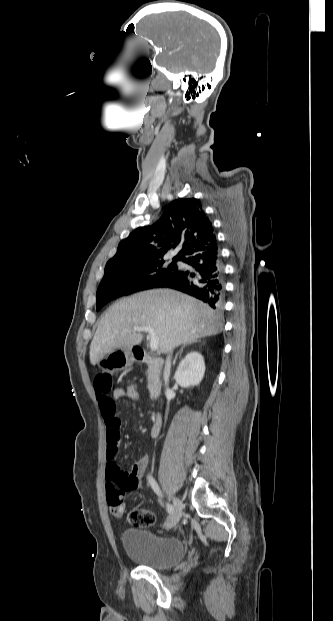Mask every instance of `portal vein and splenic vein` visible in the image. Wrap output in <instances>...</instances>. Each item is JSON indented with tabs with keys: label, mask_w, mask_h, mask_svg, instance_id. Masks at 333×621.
Instances as JSON below:
<instances>
[{
	"label": "portal vein and splenic vein",
	"mask_w": 333,
	"mask_h": 621,
	"mask_svg": "<svg viewBox=\"0 0 333 621\" xmlns=\"http://www.w3.org/2000/svg\"><path fill=\"white\" fill-rule=\"evenodd\" d=\"M134 332H140V331H145L148 332L149 337H150V348L152 351L157 350L158 345H159V338L155 333L154 328L152 327H144V326H134L132 329Z\"/></svg>",
	"instance_id": "portal-vein-and-splenic-vein-1"
}]
</instances>
